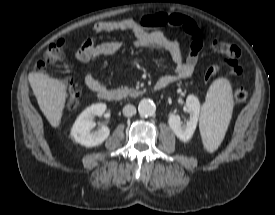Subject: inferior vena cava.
Instances as JSON below:
<instances>
[{"label":"inferior vena cava","mask_w":275,"mask_h":215,"mask_svg":"<svg viewBox=\"0 0 275 215\" xmlns=\"http://www.w3.org/2000/svg\"><path fill=\"white\" fill-rule=\"evenodd\" d=\"M123 114L127 117H131L136 114V108L135 106L128 104L125 105L123 108Z\"/></svg>","instance_id":"1"}]
</instances>
